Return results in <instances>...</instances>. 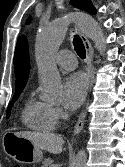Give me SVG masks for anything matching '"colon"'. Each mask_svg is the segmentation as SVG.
I'll use <instances>...</instances> for the list:
<instances>
[{
    "label": "colon",
    "mask_w": 125,
    "mask_h": 167,
    "mask_svg": "<svg viewBox=\"0 0 125 167\" xmlns=\"http://www.w3.org/2000/svg\"><path fill=\"white\" fill-rule=\"evenodd\" d=\"M13 167H22L21 165H14Z\"/></svg>",
    "instance_id": "1"
}]
</instances>
